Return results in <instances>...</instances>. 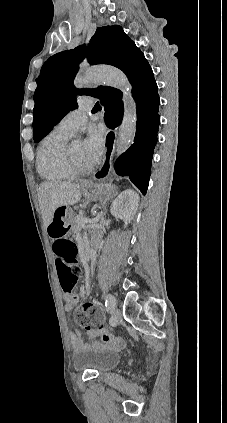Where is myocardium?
Segmentation results:
<instances>
[{
	"label": "myocardium",
	"mask_w": 227,
	"mask_h": 423,
	"mask_svg": "<svg viewBox=\"0 0 227 423\" xmlns=\"http://www.w3.org/2000/svg\"><path fill=\"white\" fill-rule=\"evenodd\" d=\"M64 162L70 175H83L92 171L91 166L80 167L77 165L72 154V143L68 144L64 150Z\"/></svg>",
	"instance_id": "f54148a6"
}]
</instances>
